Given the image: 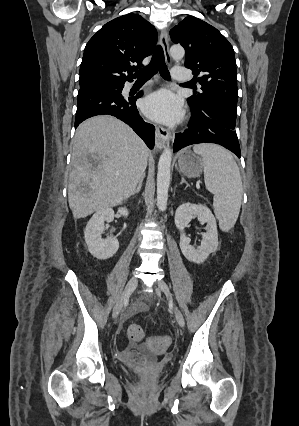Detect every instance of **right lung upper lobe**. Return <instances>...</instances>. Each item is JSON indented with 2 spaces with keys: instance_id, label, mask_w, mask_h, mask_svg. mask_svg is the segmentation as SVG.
<instances>
[{
  "instance_id": "1",
  "label": "right lung upper lobe",
  "mask_w": 299,
  "mask_h": 426,
  "mask_svg": "<svg viewBox=\"0 0 299 426\" xmlns=\"http://www.w3.org/2000/svg\"><path fill=\"white\" fill-rule=\"evenodd\" d=\"M157 42L153 25L137 14L105 24L87 43L80 66V87L124 85L135 78Z\"/></svg>"
}]
</instances>
